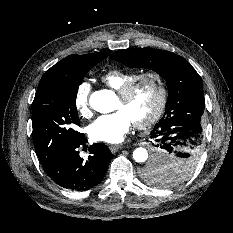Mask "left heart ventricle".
Masks as SVG:
<instances>
[{"label": "left heart ventricle", "instance_id": "b2bd125f", "mask_svg": "<svg viewBox=\"0 0 233 233\" xmlns=\"http://www.w3.org/2000/svg\"><path fill=\"white\" fill-rule=\"evenodd\" d=\"M158 91L151 79L138 83L129 98L123 100L117 97L115 109H123L133 122L147 118L153 111L157 102Z\"/></svg>", "mask_w": 233, "mask_h": 233}]
</instances>
